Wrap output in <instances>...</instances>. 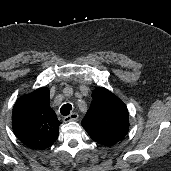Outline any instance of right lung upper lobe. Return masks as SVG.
Wrapping results in <instances>:
<instances>
[{"instance_id": "cb5924a9", "label": "right lung upper lobe", "mask_w": 171, "mask_h": 171, "mask_svg": "<svg viewBox=\"0 0 171 171\" xmlns=\"http://www.w3.org/2000/svg\"><path fill=\"white\" fill-rule=\"evenodd\" d=\"M46 87L19 98L13 108V130L18 139L33 149L44 150L58 138L60 122L49 105Z\"/></svg>"}]
</instances>
